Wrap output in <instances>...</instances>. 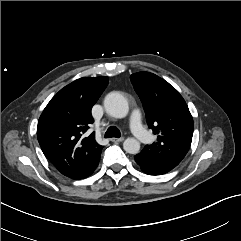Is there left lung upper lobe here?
Here are the masks:
<instances>
[{
  "label": "left lung upper lobe",
  "mask_w": 241,
  "mask_h": 241,
  "mask_svg": "<svg viewBox=\"0 0 241 241\" xmlns=\"http://www.w3.org/2000/svg\"><path fill=\"white\" fill-rule=\"evenodd\" d=\"M131 82L140 97L149 127L157 142L146 145L135 156L140 167L175 168L187 154L194 123L180 93L164 79L149 72L132 74Z\"/></svg>",
  "instance_id": "left-lung-upper-lobe-1"
}]
</instances>
